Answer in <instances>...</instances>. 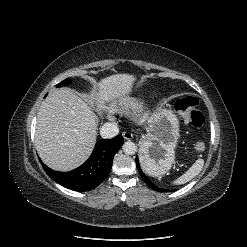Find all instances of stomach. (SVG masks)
Wrapping results in <instances>:
<instances>
[{"label":"stomach","instance_id":"0dacf381","mask_svg":"<svg viewBox=\"0 0 247 247\" xmlns=\"http://www.w3.org/2000/svg\"><path fill=\"white\" fill-rule=\"evenodd\" d=\"M179 127L173 111L159 109L153 114L139 148V161L148 175L160 177L171 169L180 137Z\"/></svg>","mask_w":247,"mask_h":247}]
</instances>
